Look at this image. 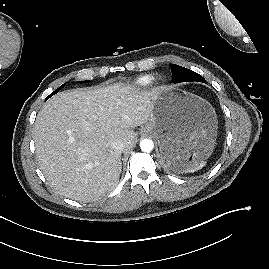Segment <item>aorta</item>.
<instances>
[{
  "instance_id": "1",
  "label": "aorta",
  "mask_w": 269,
  "mask_h": 269,
  "mask_svg": "<svg viewBox=\"0 0 269 269\" xmlns=\"http://www.w3.org/2000/svg\"><path fill=\"white\" fill-rule=\"evenodd\" d=\"M140 148L144 152H150L154 148V143L151 139H143L140 141Z\"/></svg>"
}]
</instances>
